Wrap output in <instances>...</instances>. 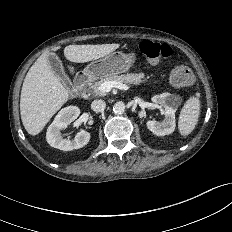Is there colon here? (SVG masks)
I'll return each mask as SVG.
<instances>
[{
  "label": "colon",
  "mask_w": 232,
  "mask_h": 232,
  "mask_svg": "<svg viewBox=\"0 0 232 232\" xmlns=\"http://www.w3.org/2000/svg\"><path fill=\"white\" fill-rule=\"evenodd\" d=\"M140 51L152 62H158L171 55L168 44L144 40L140 43ZM171 83L176 87H189L194 82L191 70L183 65L176 66L170 75Z\"/></svg>",
  "instance_id": "5ec220e1"
}]
</instances>
